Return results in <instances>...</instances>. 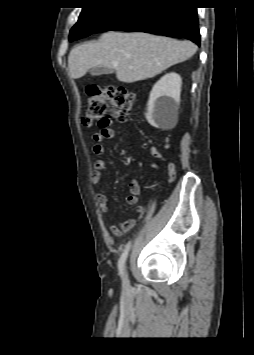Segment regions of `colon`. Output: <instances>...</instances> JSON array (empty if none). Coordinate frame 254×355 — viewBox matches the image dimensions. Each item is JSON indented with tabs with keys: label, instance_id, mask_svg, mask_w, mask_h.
<instances>
[{
	"label": "colon",
	"instance_id": "colon-1",
	"mask_svg": "<svg viewBox=\"0 0 254 355\" xmlns=\"http://www.w3.org/2000/svg\"><path fill=\"white\" fill-rule=\"evenodd\" d=\"M89 97L83 122L86 126H91L95 122L102 125L107 104L112 107L113 117L118 122H127L130 119L134 102V93L124 87L101 88L89 85L86 88ZM176 173L171 170L169 180H174Z\"/></svg>",
	"mask_w": 254,
	"mask_h": 355
}]
</instances>
